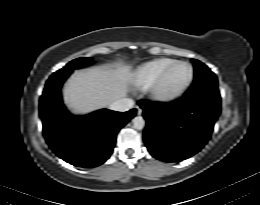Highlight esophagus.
<instances>
[{"label": "esophagus", "instance_id": "1", "mask_svg": "<svg viewBox=\"0 0 260 205\" xmlns=\"http://www.w3.org/2000/svg\"><path fill=\"white\" fill-rule=\"evenodd\" d=\"M136 108H137V114L141 115L142 114V109L139 106H136Z\"/></svg>", "mask_w": 260, "mask_h": 205}]
</instances>
